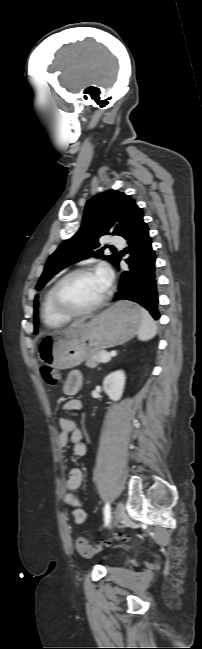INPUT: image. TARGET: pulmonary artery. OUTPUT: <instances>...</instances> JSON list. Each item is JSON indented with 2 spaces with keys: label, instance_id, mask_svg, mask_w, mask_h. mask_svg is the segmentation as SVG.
Returning <instances> with one entry per match:
<instances>
[{
  "label": "pulmonary artery",
  "instance_id": "obj_1",
  "mask_svg": "<svg viewBox=\"0 0 202 649\" xmlns=\"http://www.w3.org/2000/svg\"><path fill=\"white\" fill-rule=\"evenodd\" d=\"M109 243L113 246H122L123 240L119 236H112L109 239Z\"/></svg>",
  "mask_w": 202,
  "mask_h": 649
}]
</instances>
